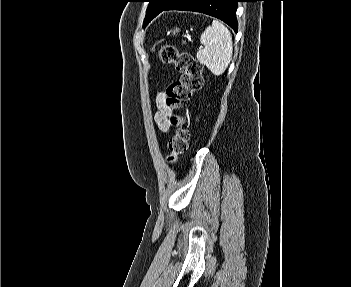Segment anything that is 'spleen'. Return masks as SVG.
Here are the masks:
<instances>
[{
  "mask_svg": "<svg viewBox=\"0 0 351 287\" xmlns=\"http://www.w3.org/2000/svg\"><path fill=\"white\" fill-rule=\"evenodd\" d=\"M200 43L204 46L197 52V59L214 75H222L227 69L233 53L230 31L218 20H214L202 33Z\"/></svg>",
  "mask_w": 351,
  "mask_h": 287,
  "instance_id": "3e777b00",
  "label": "spleen"
}]
</instances>
